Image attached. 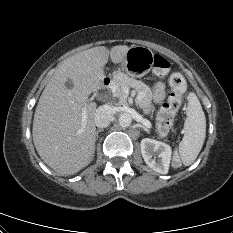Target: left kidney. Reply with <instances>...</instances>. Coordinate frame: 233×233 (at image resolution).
<instances>
[{
  "mask_svg": "<svg viewBox=\"0 0 233 233\" xmlns=\"http://www.w3.org/2000/svg\"><path fill=\"white\" fill-rule=\"evenodd\" d=\"M141 154L145 163L160 174H167L171 160V147L157 140L145 138L141 141Z\"/></svg>",
  "mask_w": 233,
  "mask_h": 233,
  "instance_id": "5707ae66",
  "label": "left kidney"
}]
</instances>
